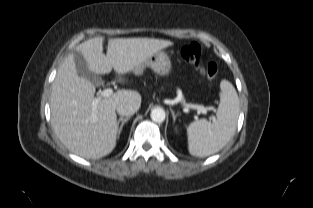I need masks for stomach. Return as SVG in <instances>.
<instances>
[{"label":"stomach","mask_w":313,"mask_h":208,"mask_svg":"<svg viewBox=\"0 0 313 208\" xmlns=\"http://www.w3.org/2000/svg\"><path fill=\"white\" fill-rule=\"evenodd\" d=\"M145 67H150L155 73L161 76H168L172 71L170 58L164 51H158L151 55L133 71L136 75H141Z\"/></svg>","instance_id":"stomach-1"}]
</instances>
